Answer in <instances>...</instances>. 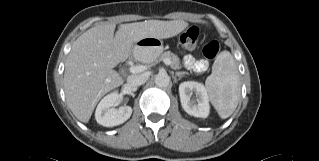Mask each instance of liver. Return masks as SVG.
I'll use <instances>...</instances> for the list:
<instances>
[{"mask_svg": "<svg viewBox=\"0 0 319 161\" xmlns=\"http://www.w3.org/2000/svg\"><path fill=\"white\" fill-rule=\"evenodd\" d=\"M187 26L181 20H148L122 24L114 35L115 25L102 23L79 36L67 57L63 79L66 101L75 117L87 123L98 101L123 84L113 68L129 57L135 43L147 37H174Z\"/></svg>", "mask_w": 319, "mask_h": 161, "instance_id": "1", "label": "liver"}]
</instances>
